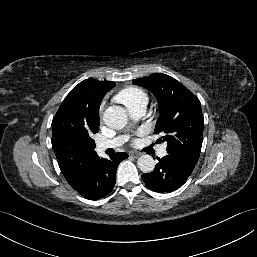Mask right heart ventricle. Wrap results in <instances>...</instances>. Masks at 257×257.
Listing matches in <instances>:
<instances>
[{"label":"right heart ventricle","instance_id":"right-heart-ventricle-1","mask_svg":"<svg viewBox=\"0 0 257 257\" xmlns=\"http://www.w3.org/2000/svg\"><path fill=\"white\" fill-rule=\"evenodd\" d=\"M116 99L129 109L137 105H147L149 97L147 93L139 87H128L121 90L117 94Z\"/></svg>","mask_w":257,"mask_h":257}]
</instances>
